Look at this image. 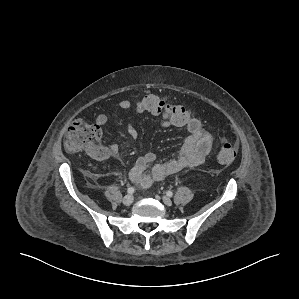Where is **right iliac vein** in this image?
Here are the masks:
<instances>
[{
	"mask_svg": "<svg viewBox=\"0 0 299 299\" xmlns=\"http://www.w3.org/2000/svg\"><path fill=\"white\" fill-rule=\"evenodd\" d=\"M133 196L132 195H126L124 198H123V204L126 205V206H129L133 203Z\"/></svg>",
	"mask_w": 299,
	"mask_h": 299,
	"instance_id": "obj_1",
	"label": "right iliac vein"
}]
</instances>
